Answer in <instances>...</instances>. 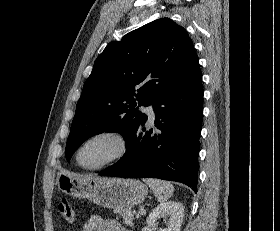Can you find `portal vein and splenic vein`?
I'll return each instance as SVG.
<instances>
[{
  "label": "portal vein and splenic vein",
  "mask_w": 280,
  "mask_h": 231,
  "mask_svg": "<svg viewBox=\"0 0 280 231\" xmlns=\"http://www.w3.org/2000/svg\"><path fill=\"white\" fill-rule=\"evenodd\" d=\"M139 213H144V215H145L146 209H140Z\"/></svg>",
  "instance_id": "18ae733b"
}]
</instances>
